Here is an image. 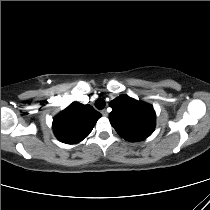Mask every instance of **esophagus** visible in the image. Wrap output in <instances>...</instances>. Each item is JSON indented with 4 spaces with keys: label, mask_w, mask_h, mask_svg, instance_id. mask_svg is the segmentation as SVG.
Masks as SVG:
<instances>
[{
    "label": "esophagus",
    "mask_w": 210,
    "mask_h": 210,
    "mask_svg": "<svg viewBox=\"0 0 210 210\" xmlns=\"http://www.w3.org/2000/svg\"><path fill=\"white\" fill-rule=\"evenodd\" d=\"M101 114H102L104 117H107V116H108V113H107V111H106L105 109H103V110L101 111Z\"/></svg>",
    "instance_id": "esophagus-1"
}]
</instances>
